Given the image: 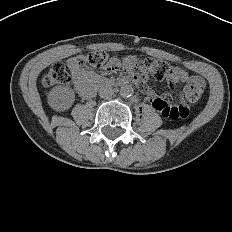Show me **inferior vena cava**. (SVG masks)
Segmentation results:
<instances>
[{
  "instance_id": "inferior-vena-cava-1",
  "label": "inferior vena cava",
  "mask_w": 232,
  "mask_h": 232,
  "mask_svg": "<svg viewBox=\"0 0 232 232\" xmlns=\"http://www.w3.org/2000/svg\"><path fill=\"white\" fill-rule=\"evenodd\" d=\"M113 93V89L109 86H103L98 91V94L101 98H109L113 95Z\"/></svg>"
}]
</instances>
